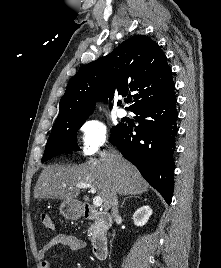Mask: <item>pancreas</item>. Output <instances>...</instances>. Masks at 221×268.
Returning a JSON list of instances; mask_svg holds the SVG:
<instances>
[{"label": "pancreas", "instance_id": "pancreas-1", "mask_svg": "<svg viewBox=\"0 0 221 268\" xmlns=\"http://www.w3.org/2000/svg\"><path fill=\"white\" fill-rule=\"evenodd\" d=\"M100 229H101V224L96 222L95 224H92L89 228H88V236L89 239L93 242L97 236L100 233Z\"/></svg>", "mask_w": 221, "mask_h": 268}]
</instances>
